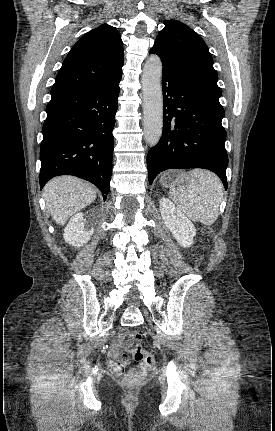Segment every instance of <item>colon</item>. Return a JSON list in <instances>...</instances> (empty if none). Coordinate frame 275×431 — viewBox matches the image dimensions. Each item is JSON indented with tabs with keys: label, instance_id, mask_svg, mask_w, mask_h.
<instances>
[{
	"label": "colon",
	"instance_id": "obj_1",
	"mask_svg": "<svg viewBox=\"0 0 275 431\" xmlns=\"http://www.w3.org/2000/svg\"><path fill=\"white\" fill-rule=\"evenodd\" d=\"M204 232L206 234H210L211 230L208 228L204 229ZM131 340H134L136 342H139L142 340V335L139 332L133 331L126 337V341L130 342ZM133 356L134 359L138 362L143 363L146 366H152L155 363V356L153 352L146 350L142 348L141 346H136L133 350ZM124 365L122 363H119L116 372L121 373L124 369ZM145 377V369L143 366H138L133 369H131L124 377V384L127 387H136L140 385Z\"/></svg>",
	"mask_w": 275,
	"mask_h": 431
}]
</instances>
